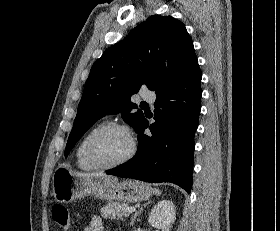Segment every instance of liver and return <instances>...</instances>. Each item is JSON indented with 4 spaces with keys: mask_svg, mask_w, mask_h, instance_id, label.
<instances>
[{
    "mask_svg": "<svg viewBox=\"0 0 280 231\" xmlns=\"http://www.w3.org/2000/svg\"><path fill=\"white\" fill-rule=\"evenodd\" d=\"M76 175H83V177H99V179H114L117 181V177L113 175H104V173H97V171H92V173H86V171H75Z\"/></svg>",
    "mask_w": 280,
    "mask_h": 231,
    "instance_id": "obj_1",
    "label": "liver"
}]
</instances>
